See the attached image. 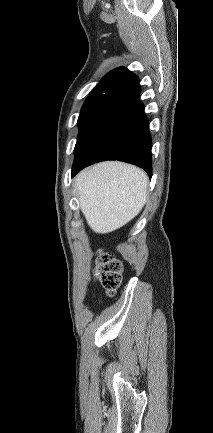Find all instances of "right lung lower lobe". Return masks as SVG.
<instances>
[{
	"instance_id": "1",
	"label": "right lung lower lobe",
	"mask_w": 213,
	"mask_h": 433,
	"mask_svg": "<svg viewBox=\"0 0 213 433\" xmlns=\"http://www.w3.org/2000/svg\"><path fill=\"white\" fill-rule=\"evenodd\" d=\"M140 91L136 83L121 92L90 122L76 143L72 176L104 160L129 162L152 176V142Z\"/></svg>"
}]
</instances>
